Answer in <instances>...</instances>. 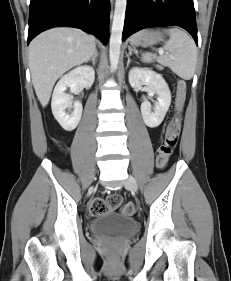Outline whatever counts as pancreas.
I'll return each instance as SVG.
<instances>
[{
  "instance_id": "pancreas-1",
  "label": "pancreas",
  "mask_w": 231,
  "mask_h": 281,
  "mask_svg": "<svg viewBox=\"0 0 231 281\" xmlns=\"http://www.w3.org/2000/svg\"><path fill=\"white\" fill-rule=\"evenodd\" d=\"M156 68L159 69V70H162V69H163V67L160 66V65H156Z\"/></svg>"
}]
</instances>
